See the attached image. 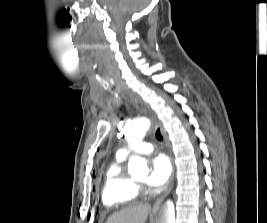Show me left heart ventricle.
Instances as JSON below:
<instances>
[{
	"instance_id": "left-heart-ventricle-1",
	"label": "left heart ventricle",
	"mask_w": 267,
	"mask_h": 223,
	"mask_svg": "<svg viewBox=\"0 0 267 223\" xmlns=\"http://www.w3.org/2000/svg\"><path fill=\"white\" fill-rule=\"evenodd\" d=\"M144 181H145V177L140 178L139 180H137V182H140V183H142V182H144Z\"/></svg>"
}]
</instances>
